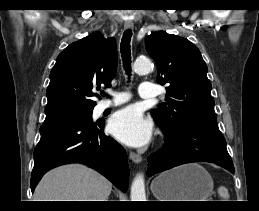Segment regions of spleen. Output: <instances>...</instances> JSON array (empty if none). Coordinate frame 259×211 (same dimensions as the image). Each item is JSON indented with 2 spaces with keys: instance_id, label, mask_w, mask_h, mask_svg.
I'll use <instances>...</instances> for the list:
<instances>
[{
  "instance_id": "1",
  "label": "spleen",
  "mask_w": 259,
  "mask_h": 211,
  "mask_svg": "<svg viewBox=\"0 0 259 211\" xmlns=\"http://www.w3.org/2000/svg\"><path fill=\"white\" fill-rule=\"evenodd\" d=\"M218 194L219 196L224 199V201H228L229 199V193H228V189L224 186H220L218 188Z\"/></svg>"
}]
</instances>
